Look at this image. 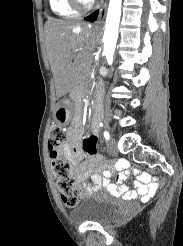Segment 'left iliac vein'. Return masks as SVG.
Listing matches in <instances>:
<instances>
[{"label": "left iliac vein", "instance_id": "4c4485c4", "mask_svg": "<svg viewBox=\"0 0 183 246\" xmlns=\"http://www.w3.org/2000/svg\"><path fill=\"white\" fill-rule=\"evenodd\" d=\"M107 149H108V152L110 154H116L118 149H117V144H116V141L114 139H111L108 141V144H107Z\"/></svg>", "mask_w": 183, "mask_h": 246}]
</instances>
